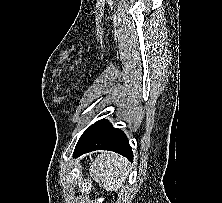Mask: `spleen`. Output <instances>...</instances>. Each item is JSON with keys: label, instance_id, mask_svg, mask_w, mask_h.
I'll return each mask as SVG.
<instances>
[{"label": "spleen", "instance_id": "3e777b00", "mask_svg": "<svg viewBox=\"0 0 222 203\" xmlns=\"http://www.w3.org/2000/svg\"><path fill=\"white\" fill-rule=\"evenodd\" d=\"M131 169L129 162L122 156L110 153H100L92 166L90 175L108 190H119L125 186Z\"/></svg>", "mask_w": 222, "mask_h": 203}]
</instances>
